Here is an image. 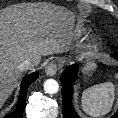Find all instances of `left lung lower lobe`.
Returning a JSON list of instances; mask_svg holds the SVG:
<instances>
[{
  "label": "left lung lower lobe",
  "instance_id": "1",
  "mask_svg": "<svg viewBox=\"0 0 118 118\" xmlns=\"http://www.w3.org/2000/svg\"><path fill=\"white\" fill-rule=\"evenodd\" d=\"M118 60V54L113 55ZM78 72L77 65L68 66L61 76L62 87V110L64 118H80L73 108V84ZM111 118H118V111Z\"/></svg>",
  "mask_w": 118,
  "mask_h": 118
}]
</instances>
